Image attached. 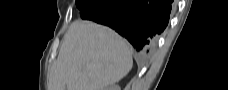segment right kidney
I'll return each instance as SVG.
<instances>
[{"label": "right kidney", "mask_w": 228, "mask_h": 90, "mask_svg": "<svg viewBox=\"0 0 228 90\" xmlns=\"http://www.w3.org/2000/svg\"><path fill=\"white\" fill-rule=\"evenodd\" d=\"M106 90H120V86L118 85L110 86L109 88H106Z\"/></svg>", "instance_id": "obj_1"}]
</instances>
